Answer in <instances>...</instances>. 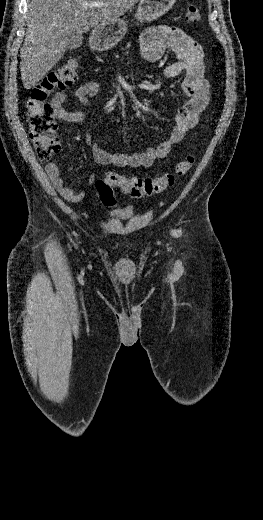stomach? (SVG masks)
<instances>
[{
  "instance_id": "stomach-1",
  "label": "stomach",
  "mask_w": 263,
  "mask_h": 520,
  "mask_svg": "<svg viewBox=\"0 0 263 520\" xmlns=\"http://www.w3.org/2000/svg\"><path fill=\"white\" fill-rule=\"evenodd\" d=\"M176 0H140L135 18L139 22H150L167 13ZM127 32L124 20L117 19L95 27L90 35L94 50L107 51L114 48Z\"/></svg>"
}]
</instances>
